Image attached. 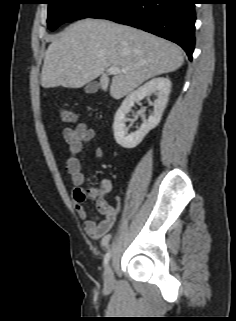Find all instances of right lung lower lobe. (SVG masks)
Segmentation results:
<instances>
[{
  "label": "right lung lower lobe",
  "mask_w": 236,
  "mask_h": 321,
  "mask_svg": "<svg viewBox=\"0 0 236 321\" xmlns=\"http://www.w3.org/2000/svg\"><path fill=\"white\" fill-rule=\"evenodd\" d=\"M196 0H111L90 18L133 26L180 45L192 59Z\"/></svg>",
  "instance_id": "right-lung-lower-lobe-1"
}]
</instances>
